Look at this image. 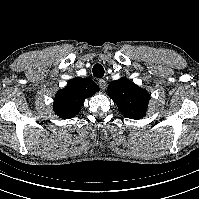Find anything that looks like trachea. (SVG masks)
<instances>
[{"instance_id": "obj_1", "label": "trachea", "mask_w": 199, "mask_h": 199, "mask_svg": "<svg viewBox=\"0 0 199 199\" xmlns=\"http://www.w3.org/2000/svg\"><path fill=\"white\" fill-rule=\"evenodd\" d=\"M93 75L97 78L104 76V68L101 64H95L92 69Z\"/></svg>"}]
</instances>
